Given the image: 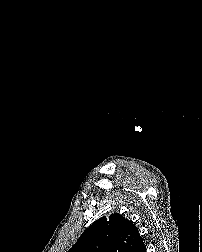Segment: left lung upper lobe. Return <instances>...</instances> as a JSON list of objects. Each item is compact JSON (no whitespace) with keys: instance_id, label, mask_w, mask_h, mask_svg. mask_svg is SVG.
<instances>
[{"instance_id":"obj_1","label":"left lung upper lobe","mask_w":202,"mask_h":252,"mask_svg":"<svg viewBox=\"0 0 202 252\" xmlns=\"http://www.w3.org/2000/svg\"><path fill=\"white\" fill-rule=\"evenodd\" d=\"M139 238L133 222L114 213L92 223L68 252H135Z\"/></svg>"}]
</instances>
